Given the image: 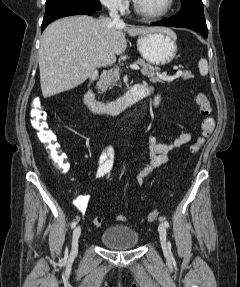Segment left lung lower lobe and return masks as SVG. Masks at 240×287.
I'll return each instance as SVG.
<instances>
[{
  "label": "left lung lower lobe",
  "instance_id": "left-lung-lower-lobe-1",
  "mask_svg": "<svg viewBox=\"0 0 240 287\" xmlns=\"http://www.w3.org/2000/svg\"><path fill=\"white\" fill-rule=\"evenodd\" d=\"M181 4L182 7L179 13L174 17L153 22L151 25L189 28L207 38L208 29L204 17L202 0H182Z\"/></svg>",
  "mask_w": 240,
  "mask_h": 287
}]
</instances>
